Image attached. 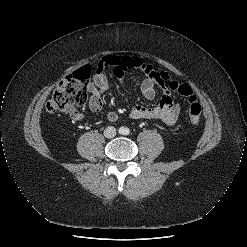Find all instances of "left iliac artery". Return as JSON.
Listing matches in <instances>:
<instances>
[{
  "label": "left iliac artery",
  "mask_w": 247,
  "mask_h": 247,
  "mask_svg": "<svg viewBox=\"0 0 247 247\" xmlns=\"http://www.w3.org/2000/svg\"><path fill=\"white\" fill-rule=\"evenodd\" d=\"M130 133V130L129 129H126L125 130V134L128 135Z\"/></svg>",
  "instance_id": "1"
}]
</instances>
